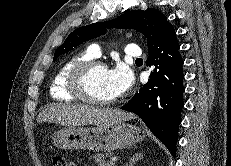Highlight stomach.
I'll list each match as a JSON object with an SVG mask.
<instances>
[{"label": "stomach", "instance_id": "stomach-1", "mask_svg": "<svg viewBox=\"0 0 231 166\" xmlns=\"http://www.w3.org/2000/svg\"><path fill=\"white\" fill-rule=\"evenodd\" d=\"M143 138L140 128L123 121L106 127H66L54 133L53 143L62 150L113 151Z\"/></svg>", "mask_w": 231, "mask_h": 166}]
</instances>
